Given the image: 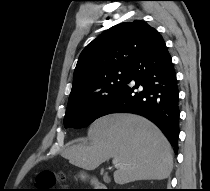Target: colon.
I'll return each mask as SVG.
<instances>
[{
  "instance_id": "5ec220e1",
  "label": "colon",
  "mask_w": 210,
  "mask_h": 191,
  "mask_svg": "<svg viewBox=\"0 0 210 191\" xmlns=\"http://www.w3.org/2000/svg\"><path fill=\"white\" fill-rule=\"evenodd\" d=\"M59 176L54 173L41 174L36 180V189L33 191H64L53 188Z\"/></svg>"
}]
</instances>
